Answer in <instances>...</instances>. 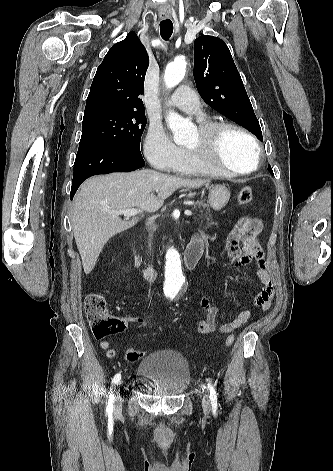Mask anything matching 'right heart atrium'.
Here are the masks:
<instances>
[{
	"label": "right heart atrium",
	"instance_id": "obj_1",
	"mask_svg": "<svg viewBox=\"0 0 333 471\" xmlns=\"http://www.w3.org/2000/svg\"><path fill=\"white\" fill-rule=\"evenodd\" d=\"M144 154L156 169L174 171L182 162L185 150L176 145L158 125H151L144 141Z\"/></svg>",
	"mask_w": 333,
	"mask_h": 471
}]
</instances>
